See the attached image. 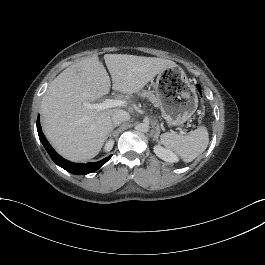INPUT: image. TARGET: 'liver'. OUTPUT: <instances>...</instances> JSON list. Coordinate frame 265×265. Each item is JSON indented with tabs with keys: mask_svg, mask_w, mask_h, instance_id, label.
Returning <instances> with one entry per match:
<instances>
[{
	"mask_svg": "<svg viewBox=\"0 0 265 265\" xmlns=\"http://www.w3.org/2000/svg\"><path fill=\"white\" fill-rule=\"evenodd\" d=\"M112 89L124 94L140 92L157 74L175 62L163 58L105 54ZM110 77L98 56L85 57L60 73L41 102L42 129L53 148L65 159L84 162L101 150L119 110L97 111L83 106L110 91Z\"/></svg>",
	"mask_w": 265,
	"mask_h": 265,
	"instance_id": "6515ba94",
	"label": "liver"
}]
</instances>
